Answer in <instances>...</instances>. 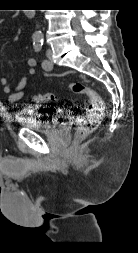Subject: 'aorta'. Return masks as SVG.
<instances>
[{"instance_id":"obj_1","label":"aorta","mask_w":138,"mask_h":253,"mask_svg":"<svg viewBox=\"0 0 138 253\" xmlns=\"http://www.w3.org/2000/svg\"><path fill=\"white\" fill-rule=\"evenodd\" d=\"M34 37H36V38H42V33H41V31L35 32V33H34Z\"/></svg>"}]
</instances>
